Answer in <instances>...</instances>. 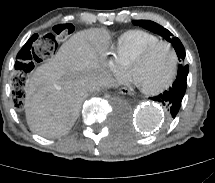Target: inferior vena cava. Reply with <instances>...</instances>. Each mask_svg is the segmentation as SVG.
<instances>
[{"label": "inferior vena cava", "instance_id": "1", "mask_svg": "<svg viewBox=\"0 0 215 183\" xmlns=\"http://www.w3.org/2000/svg\"><path fill=\"white\" fill-rule=\"evenodd\" d=\"M112 83V79L108 74H104L100 77H97L86 84V89L89 92L98 91L102 87L109 86Z\"/></svg>", "mask_w": 215, "mask_h": 183}]
</instances>
